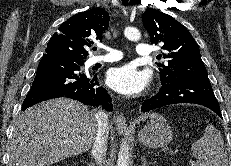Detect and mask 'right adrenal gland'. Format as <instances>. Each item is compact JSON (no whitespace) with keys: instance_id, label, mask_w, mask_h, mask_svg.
<instances>
[{"instance_id":"2a0ac1e0","label":"right adrenal gland","mask_w":231,"mask_h":166,"mask_svg":"<svg viewBox=\"0 0 231 166\" xmlns=\"http://www.w3.org/2000/svg\"><path fill=\"white\" fill-rule=\"evenodd\" d=\"M87 166H95V164L91 162V163H87Z\"/></svg>"}]
</instances>
